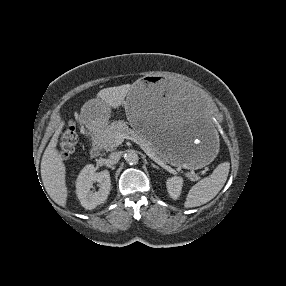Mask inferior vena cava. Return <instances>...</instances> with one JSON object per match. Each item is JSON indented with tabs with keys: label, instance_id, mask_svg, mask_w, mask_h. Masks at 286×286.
Listing matches in <instances>:
<instances>
[{
	"label": "inferior vena cava",
	"instance_id": "obj_1",
	"mask_svg": "<svg viewBox=\"0 0 286 286\" xmlns=\"http://www.w3.org/2000/svg\"><path fill=\"white\" fill-rule=\"evenodd\" d=\"M121 158V152H112L108 157V163L110 165L117 164Z\"/></svg>",
	"mask_w": 286,
	"mask_h": 286
}]
</instances>
